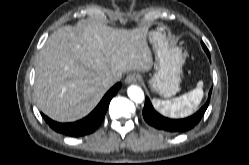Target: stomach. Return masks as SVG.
Listing matches in <instances>:
<instances>
[{"label":"stomach","instance_id":"0dacf381","mask_svg":"<svg viewBox=\"0 0 249 165\" xmlns=\"http://www.w3.org/2000/svg\"><path fill=\"white\" fill-rule=\"evenodd\" d=\"M148 39L156 56L153 77L149 80L153 91L169 98L179 90L184 57L182 50L170 45L166 36L159 30L148 31Z\"/></svg>","mask_w":249,"mask_h":165}]
</instances>
